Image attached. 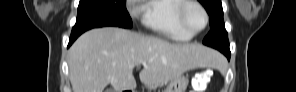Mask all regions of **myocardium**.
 Instances as JSON below:
<instances>
[{"instance_id": "1", "label": "myocardium", "mask_w": 296, "mask_h": 92, "mask_svg": "<svg viewBox=\"0 0 296 92\" xmlns=\"http://www.w3.org/2000/svg\"><path fill=\"white\" fill-rule=\"evenodd\" d=\"M191 6H196L198 7L203 15H204V18H205V23H204V26L200 29V30H197V31H193L190 29V27L188 26L187 24V20H186V12L187 10L189 9V7ZM178 21H179V24L180 26L190 35L194 36V35H198L200 34L201 32H203L208 24H209V15L206 11V9L197 1H186L180 8L179 10V13H178Z\"/></svg>"}]
</instances>
